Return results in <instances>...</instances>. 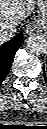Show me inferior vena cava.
Here are the masks:
<instances>
[{
	"label": "inferior vena cava",
	"instance_id": "inferior-vena-cava-1",
	"mask_svg": "<svg viewBox=\"0 0 47 129\" xmlns=\"http://www.w3.org/2000/svg\"><path fill=\"white\" fill-rule=\"evenodd\" d=\"M16 30L13 27H2L0 30V40L8 41L15 36Z\"/></svg>",
	"mask_w": 47,
	"mask_h": 129
}]
</instances>
